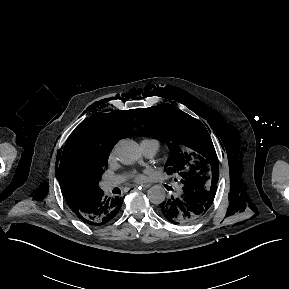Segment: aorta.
Returning <instances> with one entry per match:
<instances>
[{
    "instance_id": "1",
    "label": "aorta",
    "mask_w": 289,
    "mask_h": 289,
    "mask_svg": "<svg viewBox=\"0 0 289 289\" xmlns=\"http://www.w3.org/2000/svg\"><path fill=\"white\" fill-rule=\"evenodd\" d=\"M117 159L126 165L134 164L141 160V151L139 145L131 139H122L115 146ZM166 197L164 187L154 185L148 190V199L153 204H161Z\"/></svg>"
}]
</instances>
